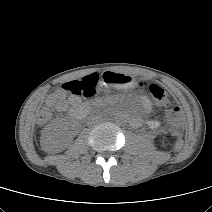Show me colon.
Segmentation results:
<instances>
[{"label":"colon","instance_id":"obj_1","mask_svg":"<svg viewBox=\"0 0 212 212\" xmlns=\"http://www.w3.org/2000/svg\"><path fill=\"white\" fill-rule=\"evenodd\" d=\"M104 76H100L97 73L86 75L80 79L72 80L64 83L58 90V94H70L75 97L91 98L97 94L98 87L103 81ZM139 86L142 88H148L155 102L162 107H170L171 101L166 91L157 84H147L140 82ZM53 106H47L38 114L39 123H45L51 115V108ZM182 112L178 106H173L168 110V117L171 122L178 124L181 120Z\"/></svg>","mask_w":212,"mask_h":212}]
</instances>
